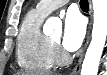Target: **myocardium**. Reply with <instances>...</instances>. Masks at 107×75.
<instances>
[{
    "mask_svg": "<svg viewBox=\"0 0 107 75\" xmlns=\"http://www.w3.org/2000/svg\"><path fill=\"white\" fill-rule=\"evenodd\" d=\"M50 41L53 48L55 63L58 65L66 64L69 61V57L62 52L57 41H54L53 39H50Z\"/></svg>",
    "mask_w": 107,
    "mask_h": 75,
    "instance_id": "1",
    "label": "myocardium"
}]
</instances>
